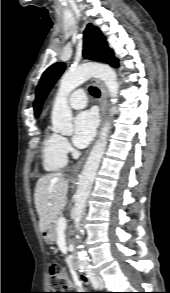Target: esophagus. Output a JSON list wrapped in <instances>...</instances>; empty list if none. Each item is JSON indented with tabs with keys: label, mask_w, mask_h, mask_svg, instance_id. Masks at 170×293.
<instances>
[{
	"label": "esophagus",
	"mask_w": 170,
	"mask_h": 293,
	"mask_svg": "<svg viewBox=\"0 0 170 293\" xmlns=\"http://www.w3.org/2000/svg\"><path fill=\"white\" fill-rule=\"evenodd\" d=\"M94 84L99 88L101 92V98H100V119H101V125L106 117V112H107V90L104 85V83L99 80V79H93ZM100 131L97 134V137L99 135ZM90 149L83 155V157L72 167L71 169V174L76 175L82 168L87 155L89 153Z\"/></svg>",
	"instance_id": "obj_1"
}]
</instances>
